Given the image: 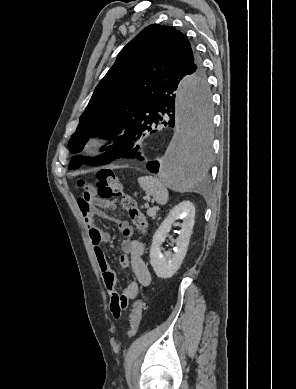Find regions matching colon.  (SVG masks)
<instances>
[{
    "label": "colon",
    "instance_id": "5ec220e1",
    "mask_svg": "<svg viewBox=\"0 0 296 389\" xmlns=\"http://www.w3.org/2000/svg\"><path fill=\"white\" fill-rule=\"evenodd\" d=\"M77 185L83 190V193L93 191V186L84 180H79ZM96 189L100 199L107 202H114L120 200L121 207L126 210L140 234L147 229V220L145 215L137 207L135 199L123 191L122 185L117 176L111 169H101L96 174ZM147 304L143 298L135 301L130 315V329L128 336H134L139 328L141 317L146 310ZM121 313L116 311L114 317L118 319Z\"/></svg>",
    "mask_w": 296,
    "mask_h": 389
}]
</instances>
